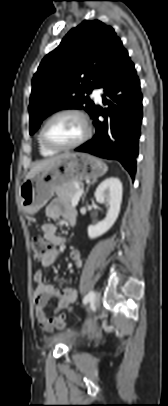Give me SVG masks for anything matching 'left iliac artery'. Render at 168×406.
I'll return each instance as SVG.
<instances>
[{"label":"left iliac artery","instance_id":"left-iliac-artery-1","mask_svg":"<svg viewBox=\"0 0 168 406\" xmlns=\"http://www.w3.org/2000/svg\"><path fill=\"white\" fill-rule=\"evenodd\" d=\"M94 296V291H90L84 298H83V303L87 304L89 301L92 300Z\"/></svg>","mask_w":168,"mask_h":406}]
</instances>
